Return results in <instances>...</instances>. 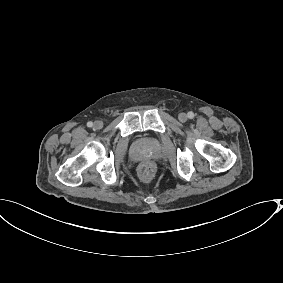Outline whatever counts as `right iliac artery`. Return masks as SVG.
<instances>
[{
    "mask_svg": "<svg viewBox=\"0 0 283 283\" xmlns=\"http://www.w3.org/2000/svg\"><path fill=\"white\" fill-rule=\"evenodd\" d=\"M87 126H88V127H92V126H93V123L90 121V122L87 123Z\"/></svg>",
    "mask_w": 283,
    "mask_h": 283,
    "instance_id": "82829eb1",
    "label": "right iliac artery"
}]
</instances>
